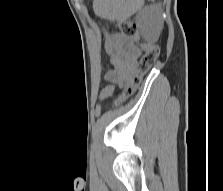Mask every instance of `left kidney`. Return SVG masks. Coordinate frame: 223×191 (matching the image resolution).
Returning a JSON list of instances; mask_svg holds the SVG:
<instances>
[{
    "label": "left kidney",
    "instance_id": "left-kidney-1",
    "mask_svg": "<svg viewBox=\"0 0 223 191\" xmlns=\"http://www.w3.org/2000/svg\"><path fill=\"white\" fill-rule=\"evenodd\" d=\"M137 22L143 36L149 41H156L163 27V19L158 6H150L143 9Z\"/></svg>",
    "mask_w": 223,
    "mask_h": 191
}]
</instances>
